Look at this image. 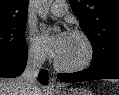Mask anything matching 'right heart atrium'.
Wrapping results in <instances>:
<instances>
[{
    "mask_svg": "<svg viewBox=\"0 0 119 95\" xmlns=\"http://www.w3.org/2000/svg\"><path fill=\"white\" fill-rule=\"evenodd\" d=\"M29 57L35 63H41L46 58L45 50L33 30L30 34Z\"/></svg>",
    "mask_w": 119,
    "mask_h": 95,
    "instance_id": "obj_1",
    "label": "right heart atrium"
}]
</instances>
